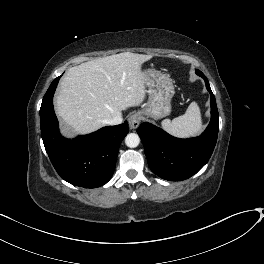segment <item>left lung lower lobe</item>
I'll return each instance as SVG.
<instances>
[{
    "label": "left lung lower lobe",
    "instance_id": "1",
    "mask_svg": "<svg viewBox=\"0 0 264 264\" xmlns=\"http://www.w3.org/2000/svg\"><path fill=\"white\" fill-rule=\"evenodd\" d=\"M197 74L205 80L211 101V120L199 137L175 138L150 123H142L137 130L149 167L165 180L181 181L196 174L208 162L217 141L219 114L215 97L205 75Z\"/></svg>",
    "mask_w": 264,
    "mask_h": 264
}]
</instances>
